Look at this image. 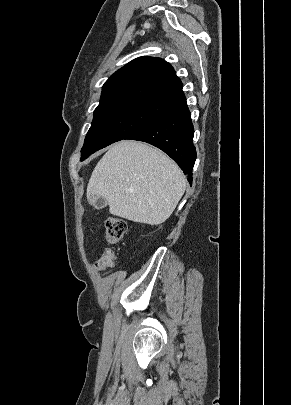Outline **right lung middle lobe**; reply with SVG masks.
Instances as JSON below:
<instances>
[{
    "mask_svg": "<svg viewBox=\"0 0 291 405\" xmlns=\"http://www.w3.org/2000/svg\"><path fill=\"white\" fill-rule=\"evenodd\" d=\"M170 105L146 99H128L99 105L81 149V160L114 142L126 139L149 124Z\"/></svg>",
    "mask_w": 291,
    "mask_h": 405,
    "instance_id": "dd1d6c3e",
    "label": "right lung middle lobe"
}]
</instances>
